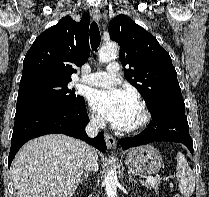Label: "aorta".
Listing matches in <instances>:
<instances>
[{"label": "aorta", "instance_id": "obj_1", "mask_svg": "<svg viewBox=\"0 0 209 197\" xmlns=\"http://www.w3.org/2000/svg\"><path fill=\"white\" fill-rule=\"evenodd\" d=\"M118 45L115 42L104 44L99 51V62L106 63L117 57ZM113 162V161H112ZM104 184L106 186V194L108 197L117 196L118 178L116 170L109 169L105 175Z\"/></svg>", "mask_w": 209, "mask_h": 197}]
</instances>
